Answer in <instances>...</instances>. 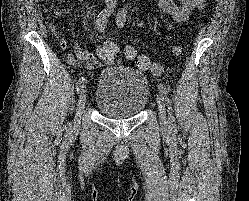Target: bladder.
<instances>
[{
  "label": "bladder",
  "instance_id": "bladder-1",
  "mask_svg": "<svg viewBox=\"0 0 249 201\" xmlns=\"http://www.w3.org/2000/svg\"><path fill=\"white\" fill-rule=\"evenodd\" d=\"M149 95L150 84L143 72L111 64L97 80L94 103L104 116L125 119L139 115Z\"/></svg>",
  "mask_w": 249,
  "mask_h": 201
}]
</instances>
